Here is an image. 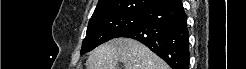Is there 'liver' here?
Returning a JSON list of instances; mask_svg holds the SVG:
<instances>
[{"label":"liver","instance_id":"6515ba94","mask_svg":"<svg viewBox=\"0 0 246 69\" xmlns=\"http://www.w3.org/2000/svg\"><path fill=\"white\" fill-rule=\"evenodd\" d=\"M168 69L148 47L129 38H115L97 47L87 60L88 69Z\"/></svg>","mask_w":246,"mask_h":69}]
</instances>
